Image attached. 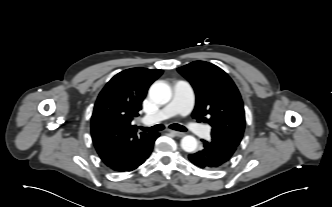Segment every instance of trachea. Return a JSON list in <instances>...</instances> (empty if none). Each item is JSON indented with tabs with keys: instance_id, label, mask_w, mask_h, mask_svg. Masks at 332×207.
Returning a JSON list of instances; mask_svg holds the SVG:
<instances>
[{
	"instance_id": "obj_1",
	"label": "trachea",
	"mask_w": 332,
	"mask_h": 207,
	"mask_svg": "<svg viewBox=\"0 0 332 207\" xmlns=\"http://www.w3.org/2000/svg\"><path fill=\"white\" fill-rule=\"evenodd\" d=\"M169 128L176 130V131H182L185 132L187 131V128L179 125V124H171L169 126ZM141 130L146 131V132H157V131H161L164 129V126L162 124H158L152 127H140Z\"/></svg>"
}]
</instances>
